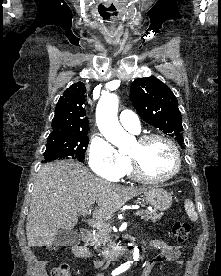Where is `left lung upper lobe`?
<instances>
[{
    "instance_id": "1",
    "label": "left lung upper lobe",
    "mask_w": 221,
    "mask_h": 276,
    "mask_svg": "<svg viewBox=\"0 0 221 276\" xmlns=\"http://www.w3.org/2000/svg\"><path fill=\"white\" fill-rule=\"evenodd\" d=\"M130 98L139 116L183 145L182 116L173 92L156 77L138 78L130 87Z\"/></svg>"
}]
</instances>
